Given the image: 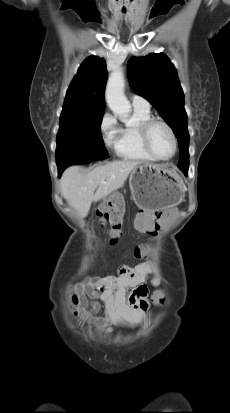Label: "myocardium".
<instances>
[{
  "label": "myocardium",
  "instance_id": "myocardium-1",
  "mask_svg": "<svg viewBox=\"0 0 230 413\" xmlns=\"http://www.w3.org/2000/svg\"><path fill=\"white\" fill-rule=\"evenodd\" d=\"M155 124H161L163 126L166 127V129L168 130V132L170 133V136L172 138L173 141V152L172 154L167 157V158H162L159 157L158 155H156L151 146H150V141H149V134H150V130L152 128L153 125ZM139 134H140V139H141V143L142 146L144 148V150L146 151V153L154 160L157 161H162V162H166L169 161L171 159H173L178 151V140H177V136L175 134L174 129L172 128V126L165 120L160 119V118H149L148 120L144 121L140 127H139Z\"/></svg>",
  "mask_w": 230,
  "mask_h": 413
}]
</instances>
